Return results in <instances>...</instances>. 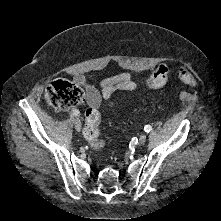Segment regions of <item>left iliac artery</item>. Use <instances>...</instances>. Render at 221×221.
I'll use <instances>...</instances> for the list:
<instances>
[{
  "mask_svg": "<svg viewBox=\"0 0 221 221\" xmlns=\"http://www.w3.org/2000/svg\"><path fill=\"white\" fill-rule=\"evenodd\" d=\"M145 132L149 133L152 130V127L150 125H146L144 127Z\"/></svg>",
  "mask_w": 221,
  "mask_h": 221,
  "instance_id": "left-iliac-artery-1",
  "label": "left iliac artery"
}]
</instances>
